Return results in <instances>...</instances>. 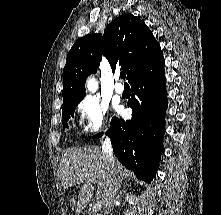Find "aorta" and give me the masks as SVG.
<instances>
[{"instance_id": "1", "label": "aorta", "mask_w": 221, "mask_h": 215, "mask_svg": "<svg viewBox=\"0 0 221 215\" xmlns=\"http://www.w3.org/2000/svg\"><path fill=\"white\" fill-rule=\"evenodd\" d=\"M87 89L89 92L94 93L98 89L97 82L94 78H90L87 82Z\"/></svg>"}]
</instances>
